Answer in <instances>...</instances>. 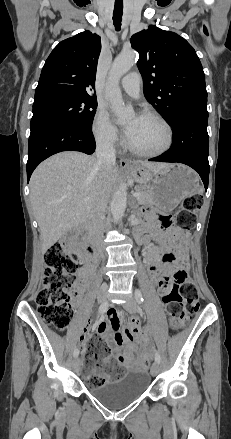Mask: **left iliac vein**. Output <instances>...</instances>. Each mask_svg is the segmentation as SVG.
Listing matches in <instances>:
<instances>
[{"mask_svg": "<svg viewBox=\"0 0 231 439\" xmlns=\"http://www.w3.org/2000/svg\"><path fill=\"white\" fill-rule=\"evenodd\" d=\"M136 300L134 298H130L127 302L123 304V307L129 312V313H136L137 306H136ZM160 371V365L158 362H154L151 367V375L156 376Z\"/></svg>", "mask_w": 231, "mask_h": 439, "instance_id": "left-iliac-vein-1", "label": "left iliac vein"}]
</instances>
